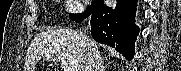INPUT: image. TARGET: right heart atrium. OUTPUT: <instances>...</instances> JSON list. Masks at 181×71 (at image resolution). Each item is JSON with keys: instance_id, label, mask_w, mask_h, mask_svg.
Listing matches in <instances>:
<instances>
[{"instance_id": "obj_1", "label": "right heart atrium", "mask_w": 181, "mask_h": 71, "mask_svg": "<svg viewBox=\"0 0 181 71\" xmlns=\"http://www.w3.org/2000/svg\"><path fill=\"white\" fill-rule=\"evenodd\" d=\"M67 5H68V10L71 13H78L82 9L79 1H69V2H67Z\"/></svg>"}]
</instances>
